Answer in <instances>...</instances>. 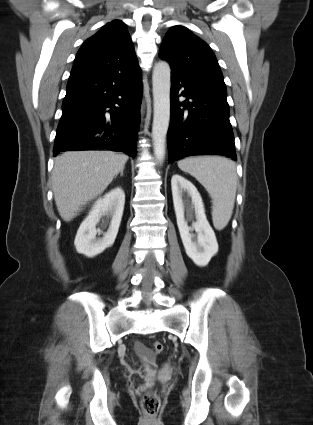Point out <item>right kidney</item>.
<instances>
[{
  "mask_svg": "<svg viewBox=\"0 0 313 425\" xmlns=\"http://www.w3.org/2000/svg\"><path fill=\"white\" fill-rule=\"evenodd\" d=\"M125 204V193L115 188L99 198L93 205L89 215L81 223L74 241L78 253L94 257L111 247L116 239ZM102 217L111 218L110 226L103 238L96 239V225Z\"/></svg>",
  "mask_w": 313,
  "mask_h": 425,
  "instance_id": "1",
  "label": "right kidney"
}]
</instances>
